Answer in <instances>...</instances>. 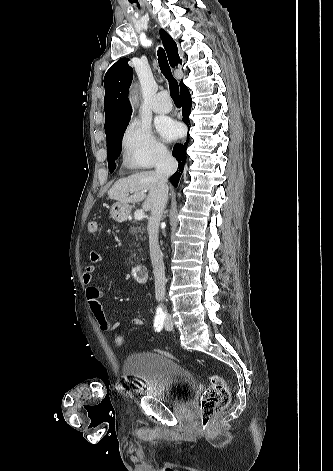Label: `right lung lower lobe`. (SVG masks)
I'll return each instance as SVG.
<instances>
[{
    "instance_id": "1",
    "label": "right lung lower lobe",
    "mask_w": 333,
    "mask_h": 471,
    "mask_svg": "<svg viewBox=\"0 0 333 471\" xmlns=\"http://www.w3.org/2000/svg\"><path fill=\"white\" fill-rule=\"evenodd\" d=\"M181 103H182V115L183 122L189 126V114L191 110V96L186 86L181 89ZM189 136L184 144H175L173 148V156L179 162L178 170L170 177V182L176 187L178 185L180 176L183 172L185 160H186V147L188 144Z\"/></svg>"
}]
</instances>
